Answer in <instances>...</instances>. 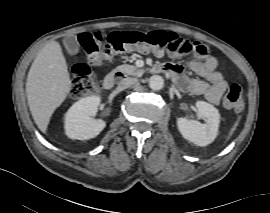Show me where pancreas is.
<instances>
[{
    "mask_svg": "<svg viewBox=\"0 0 270 213\" xmlns=\"http://www.w3.org/2000/svg\"><path fill=\"white\" fill-rule=\"evenodd\" d=\"M125 76L132 75V76H141L144 73V69H139L134 65L130 64H123L117 68Z\"/></svg>",
    "mask_w": 270,
    "mask_h": 213,
    "instance_id": "obj_1",
    "label": "pancreas"
}]
</instances>
